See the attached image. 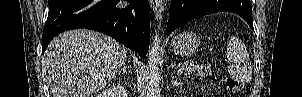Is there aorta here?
I'll use <instances>...</instances> for the list:
<instances>
[{
	"mask_svg": "<svg viewBox=\"0 0 302 97\" xmlns=\"http://www.w3.org/2000/svg\"><path fill=\"white\" fill-rule=\"evenodd\" d=\"M160 29V28H159ZM160 36L156 33L151 45L147 66V97H160Z\"/></svg>",
	"mask_w": 302,
	"mask_h": 97,
	"instance_id": "aorta-1",
	"label": "aorta"
}]
</instances>
